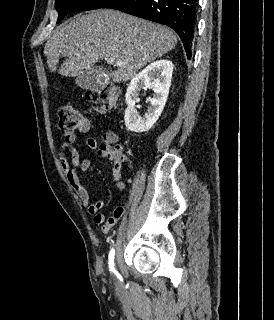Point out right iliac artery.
Returning a JSON list of instances; mask_svg holds the SVG:
<instances>
[{"label": "right iliac artery", "instance_id": "82829eb1", "mask_svg": "<svg viewBox=\"0 0 274 320\" xmlns=\"http://www.w3.org/2000/svg\"><path fill=\"white\" fill-rule=\"evenodd\" d=\"M114 256H115V250H114V248H112L110 253H109V257H108V264H109V268H110L111 272L115 271V268H114Z\"/></svg>", "mask_w": 274, "mask_h": 320}]
</instances>
